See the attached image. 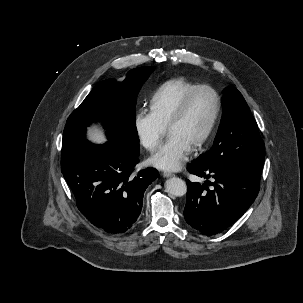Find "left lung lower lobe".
<instances>
[{"label":"left lung lower lobe","instance_id":"obj_1","mask_svg":"<svg viewBox=\"0 0 303 303\" xmlns=\"http://www.w3.org/2000/svg\"><path fill=\"white\" fill-rule=\"evenodd\" d=\"M188 171L199 177L212 178L206 184L187 180L186 222L196 230L215 235L232 225L251 206L258 195L260 181L218 165L192 162Z\"/></svg>","mask_w":303,"mask_h":303}]
</instances>
